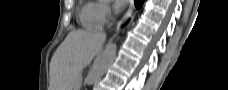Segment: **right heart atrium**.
Masks as SVG:
<instances>
[{"mask_svg": "<svg viewBox=\"0 0 228 90\" xmlns=\"http://www.w3.org/2000/svg\"><path fill=\"white\" fill-rule=\"evenodd\" d=\"M112 9L105 0H99L95 4V18L99 25L105 24L111 17Z\"/></svg>", "mask_w": 228, "mask_h": 90, "instance_id": "1", "label": "right heart atrium"}]
</instances>
